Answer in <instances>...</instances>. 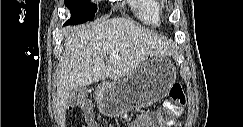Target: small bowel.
I'll use <instances>...</instances> for the list:
<instances>
[{
  "label": "small bowel",
  "mask_w": 243,
  "mask_h": 127,
  "mask_svg": "<svg viewBox=\"0 0 243 127\" xmlns=\"http://www.w3.org/2000/svg\"><path fill=\"white\" fill-rule=\"evenodd\" d=\"M140 121L141 120H138V121H136L135 123H133L131 126L132 127H136L137 126V124H139L140 123ZM175 126H182V121H179Z\"/></svg>",
  "instance_id": "obj_1"
}]
</instances>
